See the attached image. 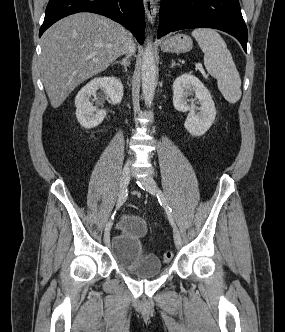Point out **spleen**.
<instances>
[{"mask_svg": "<svg viewBox=\"0 0 285 332\" xmlns=\"http://www.w3.org/2000/svg\"><path fill=\"white\" fill-rule=\"evenodd\" d=\"M204 53V65L208 73L217 80L223 97L231 104L241 98V79L230 51L221 35L210 28L192 31Z\"/></svg>", "mask_w": 285, "mask_h": 332, "instance_id": "3e777b00", "label": "spleen"}]
</instances>
